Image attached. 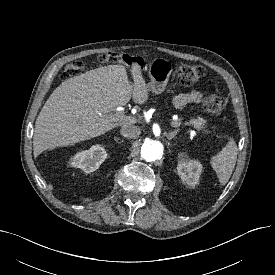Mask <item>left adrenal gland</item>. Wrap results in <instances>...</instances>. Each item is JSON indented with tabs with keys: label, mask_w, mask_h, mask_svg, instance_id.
Instances as JSON below:
<instances>
[{
	"label": "left adrenal gland",
	"mask_w": 275,
	"mask_h": 275,
	"mask_svg": "<svg viewBox=\"0 0 275 275\" xmlns=\"http://www.w3.org/2000/svg\"><path fill=\"white\" fill-rule=\"evenodd\" d=\"M178 132H179V129L169 132V134L167 135V139L172 140L177 135Z\"/></svg>",
	"instance_id": "obj_1"
}]
</instances>
